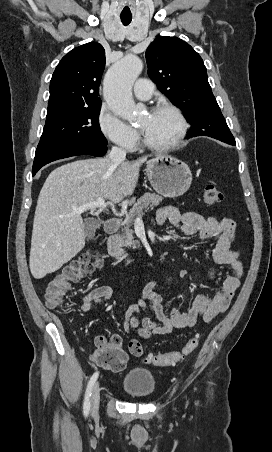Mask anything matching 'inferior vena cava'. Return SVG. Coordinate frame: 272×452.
<instances>
[{
    "label": "inferior vena cava",
    "mask_w": 272,
    "mask_h": 452,
    "mask_svg": "<svg viewBox=\"0 0 272 452\" xmlns=\"http://www.w3.org/2000/svg\"><path fill=\"white\" fill-rule=\"evenodd\" d=\"M126 158V151L120 147L113 146L110 153L109 159L114 165H118L123 162Z\"/></svg>",
    "instance_id": "inferior-vena-cava-1"
}]
</instances>
